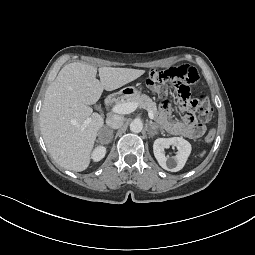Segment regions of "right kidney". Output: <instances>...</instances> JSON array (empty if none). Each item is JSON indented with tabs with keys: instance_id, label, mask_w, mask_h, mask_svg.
<instances>
[{
	"instance_id": "obj_1",
	"label": "right kidney",
	"mask_w": 255,
	"mask_h": 255,
	"mask_svg": "<svg viewBox=\"0 0 255 255\" xmlns=\"http://www.w3.org/2000/svg\"><path fill=\"white\" fill-rule=\"evenodd\" d=\"M105 154H106V148L104 146H98L97 148H95V150L92 153V159L95 162H98L104 158Z\"/></svg>"
}]
</instances>
